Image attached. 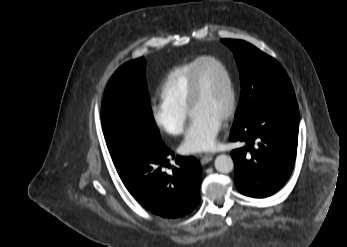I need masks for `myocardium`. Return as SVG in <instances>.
<instances>
[{"label":"myocardium","instance_id":"obj_1","mask_svg":"<svg viewBox=\"0 0 347 247\" xmlns=\"http://www.w3.org/2000/svg\"><path fill=\"white\" fill-rule=\"evenodd\" d=\"M204 62H210L217 65L218 67L221 68V70L224 72L226 76V79L228 82V88H229V103L222 120L227 121L233 117L236 111V106H237L236 86H235L234 78L228 66L221 59L214 56H203L198 58L191 72L190 82L188 86V95H187L188 111L189 113H191V109L193 105L196 103V101L198 100L200 96L198 70L200 65Z\"/></svg>","mask_w":347,"mask_h":247}]
</instances>
